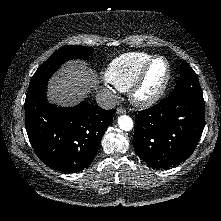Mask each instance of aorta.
<instances>
[{
    "label": "aorta",
    "instance_id": "762f6f07",
    "mask_svg": "<svg viewBox=\"0 0 221 221\" xmlns=\"http://www.w3.org/2000/svg\"><path fill=\"white\" fill-rule=\"evenodd\" d=\"M118 125L121 130L130 131L133 128V121L129 116L121 115L118 118Z\"/></svg>",
    "mask_w": 221,
    "mask_h": 221
}]
</instances>
